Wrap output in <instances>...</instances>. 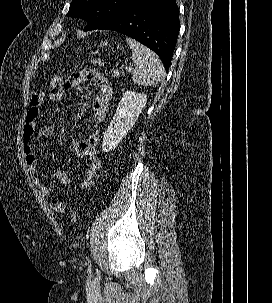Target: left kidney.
<instances>
[{
	"instance_id": "left-kidney-1",
	"label": "left kidney",
	"mask_w": 272,
	"mask_h": 303,
	"mask_svg": "<svg viewBox=\"0 0 272 303\" xmlns=\"http://www.w3.org/2000/svg\"><path fill=\"white\" fill-rule=\"evenodd\" d=\"M147 103L144 93L126 91L118 104L116 113L108 126L102 142V151L115 149L134 126Z\"/></svg>"
}]
</instances>
